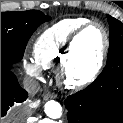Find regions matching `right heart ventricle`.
<instances>
[{"label": "right heart ventricle", "mask_w": 123, "mask_h": 123, "mask_svg": "<svg viewBox=\"0 0 123 123\" xmlns=\"http://www.w3.org/2000/svg\"><path fill=\"white\" fill-rule=\"evenodd\" d=\"M88 21L84 17L69 18L47 28L34 43V60L41 68L60 66L66 57L71 37Z\"/></svg>", "instance_id": "obj_1"}]
</instances>
